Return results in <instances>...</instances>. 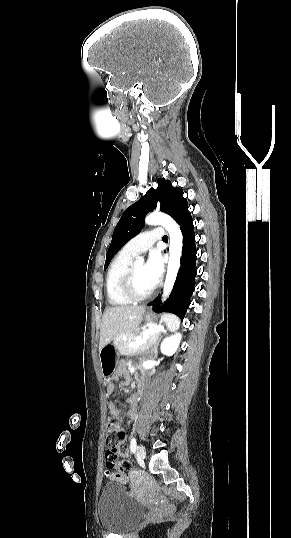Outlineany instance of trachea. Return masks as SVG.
Wrapping results in <instances>:
<instances>
[{
	"label": "trachea",
	"mask_w": 291,
	"mask_h": 538,
	"mask_svg": "<svg viewBox=\"0 0 291 538\" xmlns=\"http://www.w3.org/2000/svg\"><path fill=\"white\" fill-rule=\"evenodd\" d=\"M163 240H164V241L168 240V237H167V236H164V237H163Z\"/></svg>",
	"instance_id": "trachea-1"
}]
</instances>
